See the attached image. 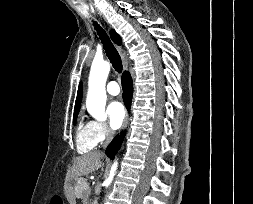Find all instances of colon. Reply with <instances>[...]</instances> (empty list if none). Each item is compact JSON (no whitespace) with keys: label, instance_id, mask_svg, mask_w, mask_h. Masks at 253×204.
Returning a JSON list of instances; mask_svg holds the SVG:
<instances>
[{"label":"colon","instance_id":"obj_1","mask_svg":"<svg viewBox=\"0 0 253 204\" xmlns=\"http://www.w3.org/2000/svg\"><path fill=\"white\" fill-rule=\"evenodd\" d=\"M51 204H62L61 202L57 201L56 199H53Z\"/></svg>","mask_w":253,"mask_h":204}]
</instances>
